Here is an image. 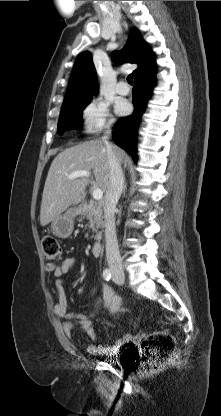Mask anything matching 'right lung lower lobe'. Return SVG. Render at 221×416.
<instances>
[{"mask_svg": "<svg viewBox=\"0 0 221 416\" xmlns=\"http://www.w3.org/2000/svg\"><path fill=\"white\" fill-rule=\"evenodd\" d=\"M154 74L155 70L135 78V86L132 91L134 112L131 116L119 120L113 132L114 142L130 153L135 161L137 160V131L142 114L145 112L147 101L152 95V88L155 85Z\"/></svg>", "mask_w": 221, "mask_h": 416, "instance_id": "98d812e1", "label": "right lung lower lobe"}]
</instances>
